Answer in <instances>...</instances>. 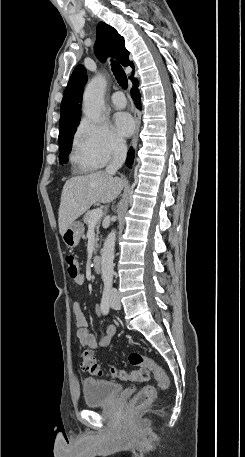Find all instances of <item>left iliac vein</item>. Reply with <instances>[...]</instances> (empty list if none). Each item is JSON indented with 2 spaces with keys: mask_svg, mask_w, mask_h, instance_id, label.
I'll use <instances>...</instances> for the list:
<instances>
[{
  "mask_svg": "<svg viewBox=\"0 0 245 457\" xmlns=\"http://www.w3.org/2000/svg\"><path fill=\"white\" fill-rule=\"evenodd\" d=\"M112 297H113V300H112V302H111V307H112L113 309H120V306H121V305H120V301H119V299H118V296L113 295Z\"/></svg>",
  "mask_w": 245,
  "mask_h": 457,
  "instance_id": "1",
  "label": "left iliac vein"
}]
</instances>
